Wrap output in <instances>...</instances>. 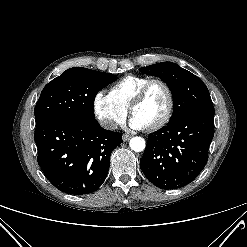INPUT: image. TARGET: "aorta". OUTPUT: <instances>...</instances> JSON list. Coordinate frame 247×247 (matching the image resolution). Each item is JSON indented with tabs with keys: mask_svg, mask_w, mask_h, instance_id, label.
<instances>
[{
	"mask_svg": "<svg viewBox=\"0 0 247 247\" xmlns=\"http://www.w3.org/2000/svg\"><path fill=\"white\" fill-rule=\"evenodd\" d=\"M130 148L135 152H141L145 149L146 143L142 137H133L129 143Z\"/></svg>",
	"mask_w": 247,
	"mask_h": 247,
	"instance_id": "762f6f07",
	"label": "aorta"
}]
</instances>
